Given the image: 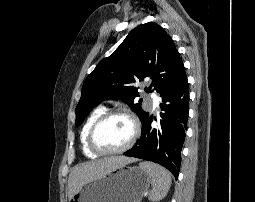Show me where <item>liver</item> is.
<instances>
[{
	"label": "liver",
	"instance_id": "obj_1",
	"mask_svg": "<svg viewBox=\"0 0 255 202\" xmlns=\"http://www.w3.org/2000/svg\"><path fill=\"white\" fill-rule=\"evenodd\" d=\"M136 159L124 157V156H114L104 158L98 161H92L87 163H82L75 166L68 179V197L69 199L86 183L103 176L109 171H112L118 167L125 166L129 163L135 162Z\"/></svg>",
	"mask_w": 255,
	"mask_h": 202
}]
</instances>
